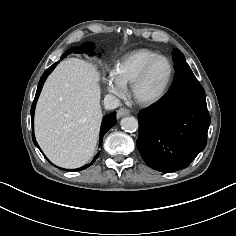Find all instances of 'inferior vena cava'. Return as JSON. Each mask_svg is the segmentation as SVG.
Segmentation results:
<instances>
[{
    "label": "inferior vena cava",
    "instance_id": "inferior-vena-cava-1",
    "mask_svg": "<svg viewBox=\"0 0 236 236\" xmlns=\"http://www.w3.org/2000/svg\"><path fill=\"white\" fill-rule=\"evenodd\" d=\"M119 105H120V100L117 97H115L114 95L108 94L105 96L104 107L107 110L115 109V108L119 107Z\"/></svg>",
    "mask_w": 236,
    "mask_h": 236
}]
</instances>
